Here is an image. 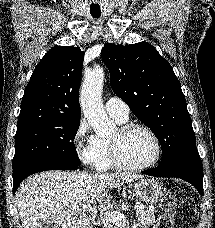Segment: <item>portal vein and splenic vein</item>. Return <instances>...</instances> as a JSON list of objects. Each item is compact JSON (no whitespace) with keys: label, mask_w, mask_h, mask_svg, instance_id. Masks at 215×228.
<instances>
[{"label":"portal vein and splenic vein","mask_w":215,"mask_h":228,"mask_svg":"<svg viewBox=\"0 0 215 228\" xmlns=\"http://www.w3.org/2000/svg\"><path fill=\"white\" fill-rule=\"evenodd\" d=\"M83 210H86V212H93L92 210V204H86L84 206ZM135 210H144V206H141V204H135ZM106 220L108 222H123V220H126L125 214H118V212H109V214H106Z\"/></svg>","instance_id":"portal-vein-and-splenic-vein-1"}]
</instances>
